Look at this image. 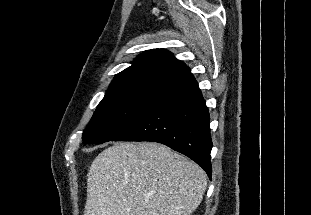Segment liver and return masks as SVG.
I'll return each mask as SVG.
<instances>
[{
    "mask_svg": "<svg viewBox=\"0 0 311 215\" xmlns=\"http://www.w3.org/2000/svg\"><path fill=\"white\" fill-rule=\"evenodd\" d=\"M206 188L203 169L164 145L115 143L90 166L84 215H190Z\"/></svg>",
    "mask_w": 311,
    "mask_h": 215,
    "instance_id": "1",
    "label": "liver"
}]
</instances>
